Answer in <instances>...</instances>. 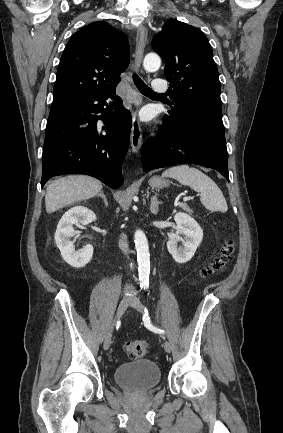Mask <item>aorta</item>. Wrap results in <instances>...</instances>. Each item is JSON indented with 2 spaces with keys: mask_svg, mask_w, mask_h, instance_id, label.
I'll list each match as a JSON object with an SVG mask.
<instances>
[{
  "mask_svg": "<svg viewBox=\"0 0 283 433\" xmlns=\"http://www.w3.org/2000/svg\"><path fill=\"white\" fill-rule=\"evenodd\" d=\"M143 66L146 71H156L161 66V59L157 54L149 53L144 58ZM134 242L137 252L140 285L148 286L150 274V254L147 238L142 230L135 231Z\"/></svg>",
  "mask_w": 283,
  "mask_h": 433,
  "instance_id": "obj_1",
  "label": "aorta"
}]
</instances>
